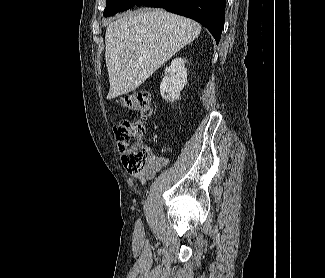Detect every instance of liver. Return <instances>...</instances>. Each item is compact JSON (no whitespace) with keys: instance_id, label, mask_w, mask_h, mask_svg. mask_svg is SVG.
<instances>
[{"instance_id":"6515ba94","label":"liver","mask_w":325,"mask_h":278,"mask_svg":"<svg viewBox=\"0 0 325 278\" xmlns=\"http://www.w3.org/2000/svg\"><path fill=\"white\" fill-rule=\"evenodd\" d=\"M199 23L163 9H141L110 23L105 33L108 99L138 88L198 37Z\"/></svg>"}]
</instances>
